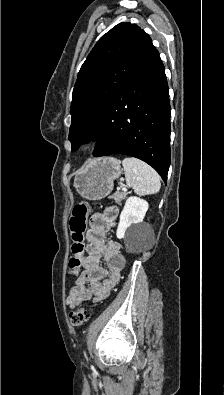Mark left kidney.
<instances>
[{
  "instance_id": "obj_1",
  "label": "left kidney",
  "mask_w": 224,
  "mask_h": 395,
  "mask_svg": "<svg viewBox=\"0 0 224 395\" xmlns=\"http://www.w3.org/2000/svg\"><path fill=\"white\" fill-rule=\"evenodd\" d=\"M148 202L136 196H131L126 200L125 206L120 214L116 236L122 239L128 229L136 230L145 217L148 210ZM142 233V229H138V234Z\"/></svg>"
}]
</instances>
